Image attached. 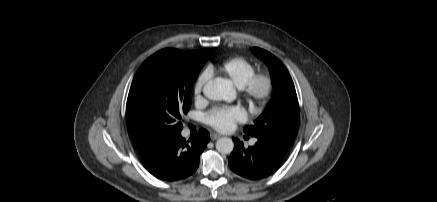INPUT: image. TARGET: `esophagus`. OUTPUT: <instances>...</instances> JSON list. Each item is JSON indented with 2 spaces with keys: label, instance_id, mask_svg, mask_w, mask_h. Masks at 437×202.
<instances>
[{
  "label": "esophagus",
  "instance_id": "obj_1",
  "mask_svg": "<svg viewBox=\"0 0 437 202\" xmlns=\"http://www.w3.org/2000/svg\"><path fill=\"white\" fill-rule=\"evenodd\" d=\"M210 137H211L212 140H217V139H219L221 136H220L219 134H217V133H212V134L210 135Z\"/></svg>",
  "mask_w": 437,
  "mask_h": 202
}]
</instances>
